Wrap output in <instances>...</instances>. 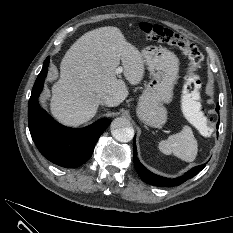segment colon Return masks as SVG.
Masks as SVG:
<instances>
[{
	"mask_svg": "<svg viewBox=\"0 0 233 233\" xmlns=\"http://www.w3.org/2000/svg\"><path fill=\"white\" fill-rule=\"evenodd\" d=\"M140 29L150 39L176 46L187 56L188 68L182 99L183 112L200 132L206 135L211 134V119L204 114L199 101L201 82L197 70L203 60V54L197 45L184 36L159 24L141 22Z\"/></svg>",
	"mask_w": 233,
	"mask_h": 233,
	"instance_id": "1",
	"label": "colon"
}]
</instances>
